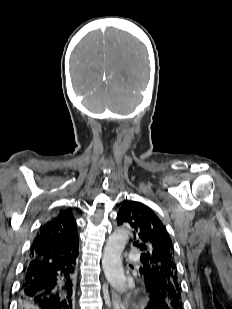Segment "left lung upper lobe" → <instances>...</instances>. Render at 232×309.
<instances>
[{"mask_svg":"<svg viewBox=\"0 0 232 309\" xmlns=\"http://www.w3.org/2000/svg\"><path fill=\"white\" fill-rule=\"evenodd\" d=\"M133 228L132 245L141 251L140 274L166 299L182 303L172 240L160 219L147 206L130 201L117 214V224Z\"/></svg>","mask_w":232,"mask_h":309,"instance_id":"1","label":"left lung upper lobe"}]
</instances>
